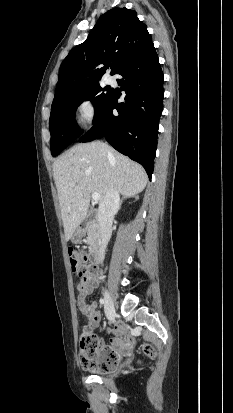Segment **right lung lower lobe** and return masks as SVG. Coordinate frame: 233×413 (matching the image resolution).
Masks as SVG:
<instances>
[{"instance_id": "obj_1", "label": "right lung lower lobe", "mask_w": 233, "mask_h": 413, "mask_svg": "<svg viewBox=\"0 0 233 413\" xmlns=\"http://www.w3.org/2000/svg\"><path fill=\"white\" fill-rule=\"evenodd\" d=\"M116 74L123 76L118 82L126 92L125 101L117 103L112 93L80 142L105 137L116 150L140 163L151 179L164 95L163 73L153 43L124 62ZM113 109L118 115H113Z\"/></svg>"}]
</instances>
